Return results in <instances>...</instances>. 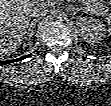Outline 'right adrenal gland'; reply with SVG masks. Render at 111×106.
Segmentation results:
<instances>
[{"label":"right adrenal gland","mask_w":111,"mask_h":106,"mask_svg":"<svg viewBox=\"0 0 111 106\" xmlns=\"http://www.w3.org/2000/svg\"><path fill=\"white\" fill-rule=\"evenodd\" d=\"M40 19L36 18L34 19L29 25H28V29H27V39L30 40V38L34 35V29L36 28V23L39 21Z\"/></svg>","instance_id":"obj_1"}]
</instances>
